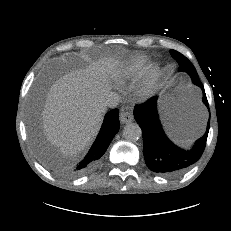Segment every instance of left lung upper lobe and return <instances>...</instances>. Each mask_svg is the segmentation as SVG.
Masks as SVG:
<instances>
[{
    "instance_id": "left-lung-upper-lobe-1",
    "label": "left lung upper lobe",
    "mask_w": 231,
    "mask_h": 231,
    "mask_svg": "<svg viewBox=\"0 0 231 231\" xmlns=\"http://www.w3.org/2000/svg\"><path fill=\"white\" fill-rule=\"evenodd\" d=\"M170 53L172 57L178 62L179 64V71H185L187 72L192 80H199L198 74L196 72V69L192 65V63L181 53L175 50H170Z\"/></svg>"
}]
</instances>
